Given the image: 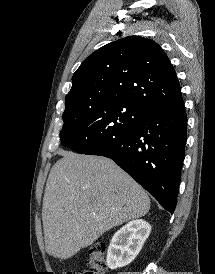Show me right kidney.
Instances as JSON below:
<instances>
[{
  "mask_svg": "<svg viewBox=\"0 0 215 274\" xmlns=\"http://www.w3.org/2000/svg\"><path fill=\"white\" fill-rule=\"evenodd\" d=\"M150 232V224L142 219L133 220L120 228L108 247L107 266L114 270L130 264L142 249Z\"/></svg>",
  "mask_w": 215,
  "mask_h": 274,
  "instance_id": "obj_1",
  "label": "right kidney"
}]
</instances>
